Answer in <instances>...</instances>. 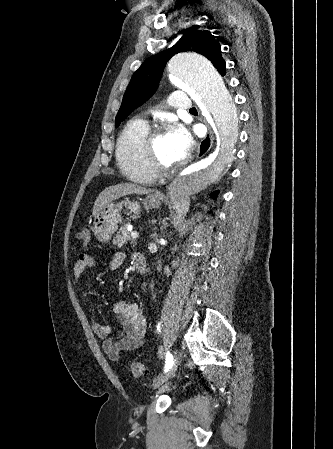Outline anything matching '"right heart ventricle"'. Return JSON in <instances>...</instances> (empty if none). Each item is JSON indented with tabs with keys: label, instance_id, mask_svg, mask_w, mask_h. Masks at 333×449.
Segmentation results:
<instances>
[{
	"label": "right heart ventricle",
	"instance_id": "e07e8e85",
	"mask_svg": "<svg viewBox=\"0 0 333 449\" xmlns=\"http://www.w3.org/2000/svg\"><path fill=\"white\" fill-rule=\"evenodd\" d=\"M148 130V124L142 119L129 121L120 133L115 148L116 161L124 176L142 184H150L156 178L149 170L143 153V141Z\"/></svg>",
	"mask_w": 333,
	"mask_h": 449
}]
</instances>
